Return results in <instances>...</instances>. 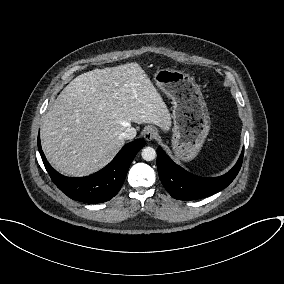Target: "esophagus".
Segmentation results:
<instances>
[{"label":"esophagus","instance_id":"obj_1","mask_svg":"<svg viewBox=\"0 0 284 284\" xmlns=\"http://www.w3.org/2000/svg\"><path fill=\"white\" fill-rule=\"evenodd\" d=\"M158 136L157 130L154 127H147L144 130V138L147 141L156 139Z\"/></svg>","mask_w":284,"mask_h":284}]
</instances>
